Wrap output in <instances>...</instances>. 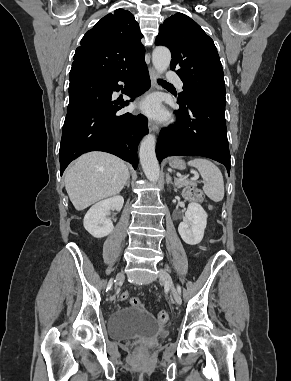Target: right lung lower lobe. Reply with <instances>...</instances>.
I'll return each instance as SVG.
<instances>
[{
	"mask_svg": "<svg viewBox=\"0 0 291 381\" xmlns=\"http://www.w3.org/2000/svg\"><path fill=\"white\" fill-rule=\"evenodd\" d=\"M124 81L131 101L150 87L145 61L114 77L70 74L69 105L59 150L60 174L68 164L88 151H105L138 165L137 144L148 133L147 118L117 112L128 102L117 106L111 101Z\"/></svg>",
	"mask_w": 291,
	"mask_h": 381,
	"instance_id": "obj_1",
	"label": "right lung lower lobe"
}]
</instances>
